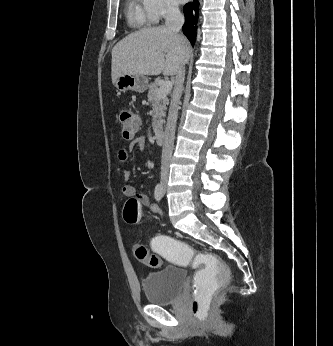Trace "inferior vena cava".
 <instances>
[{
	"label": "inferior vena cava",
	"instance_id": "1",
	"mask_svg": "<svg viewBox=\"0 0 333 346\" xmlns=\"http://www.w3.org/2000/svg\"><path fill=\"white\" fill-rule=\"evenodd\" d=\"M184 24V16L181 14L179 8L175 5H168L165 15V27L172 32L178 34L182 25ZM185 79L184 66H181L176 74L175 86L172 95V100L169 108L167 124L164 132V143L162 148L161 159V176L167 177L169 173V165L172 158L174 148L175 129L178 117V109L180 97L183 90V83Z\"/></svg>",
	"mask_w": 333,
	"mask_h": 346
}]
</instances>
